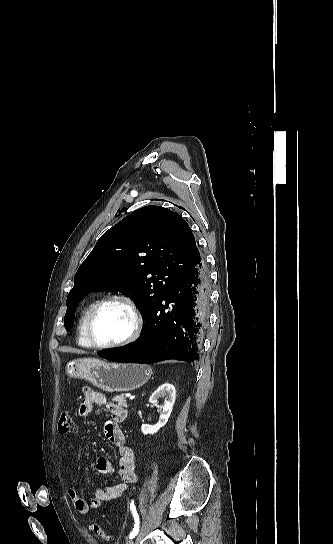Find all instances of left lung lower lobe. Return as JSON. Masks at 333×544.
I'll use <instances>...</instances> for the list:
<instances>
[{
  "label": "left lung lower lobe",
  "mask_w": 333,
  "mask_h": 544,
  "mask_svg": "<svg viewBox=\"0 0 333 544\" xmlns=\"http://www.w3.org/2000/svg\"><path fill=\"white\" fill-rule=\"evenodd\" d=\"M209 303V275L201 258L172 285L145 317L133 343L97 354L111 361L155 363L167 359L194 362L199 357Z\"/></svg>",
  "instance_id": "obj_1"
}]
</instances>
